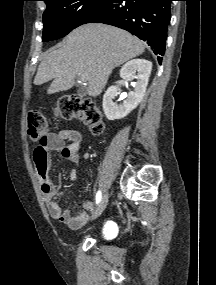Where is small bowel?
<instances>
[{
    "mask_svg": "<svg viewBox=\"0 0 216 285\" xmlns=\"http://www.w3.org/2000/svg\"><path fill=\"white\" fill-rule=\"evenodd\" d=\"M66 142H70L66 145ZM82 143V134L77 130L64 129L48 134L47 143L44 148L37 147L34 152V162L37 174L42 186L43 199L46 203L50 216L58 222L66 225L70 229H78L89 219V212L93 209V203L83 201L85 209L77 216H73L71 211L63 209L53 198L59 191L61 185L53 183L49 177L51 165L50 153L60 152L63 156L71 159H79V149Z\"/></svg>",
    "mask_w": 216,
    "mask_h": 285,
    "instance_id": "obj_1",
    "label": "small bowel"
}]
</instances>
